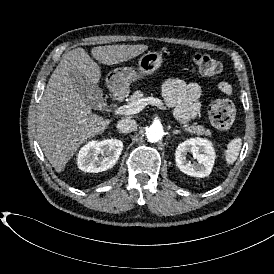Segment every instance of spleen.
<instances>
[{"instance_id": "obj_1", "label": "spleen", "mask_w": 274, "mask_h": 274, "mask_svg": "<svg viewBox=\"0 0 274 274\" xmlns=\"http://www.w3.org/2000/svg\"><path fill=\"white\" fill-rule=\"evenodd\" d=\"M243 139L240 136H235L229 140L224 151L226 165H232L237 160L241 151Z\"/></svg>"}]
</instances>
